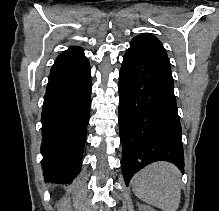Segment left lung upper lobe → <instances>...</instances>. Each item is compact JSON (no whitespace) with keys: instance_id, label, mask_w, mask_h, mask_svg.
Returning a JSON list of instances; mask_svg holds the SVG:
<instances>
[{"instance_id":"obj_1","label":"left lung upper lobe","mask_w":219,"mask_h":211,"mask_svg":"<svg viewBox=\"0 0 219 211\" xmlns=\"http://www.w3.org/2000/svg\"><path fill=\"white\" fill-rule=\"evenodd\" d=\"M128 50L171 71L165 49L161 42L151 34L134 37Z\"/></svg>"}]
</instances>
